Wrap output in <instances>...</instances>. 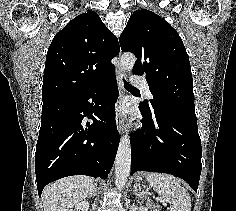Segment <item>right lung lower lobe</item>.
I'll list each match as a JSON object with an SVG mask.
<instances>
[{
	"label": "right lung lower lobe",
	"mask_w": 236,
	"mask_h": 211,
	"mask_svg": "<svg viewBox=\"0 0 236 211\" xmlns=\"http://www.w3.org/2000/svg\"><path fill=\"white\" fill-rule=\"evenodd\" d=\"M118 94L113 74L88 92L43 101L35 152L39 196L47 184L66 176L107 178L120 140L114 113Z\"/></svg>",
	"instance_id": "1"
}]
</instances>
